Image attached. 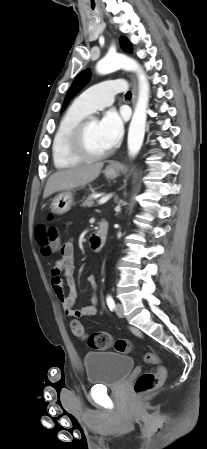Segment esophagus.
I'll return each mask as SVG.
<instances>
[{
	"label": "esophagus",
	"instance_id": "1",
	"mask_svg": "<svg viewBox=\"0 0 207 449\" xmlns=\"http://www.w3.org/2000/svg\"><path fill=\"white\" fill-rule=\"evenodd\" d=\"M131 78V82H132V105H135L136 102V97H137V84H136V80L133 76H130ZM114 166V164L112 165Z\"/></svg>",
	"mask_w": 207,
	"mask_h": 449
}]
</instances>
